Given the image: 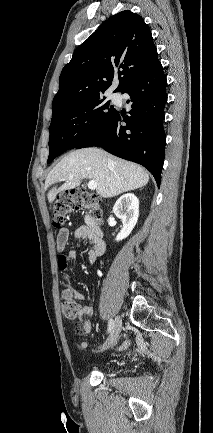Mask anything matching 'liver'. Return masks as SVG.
<instances>
[{
	"label": "liver",
	"instance_id": "liver-1",
	"mask_svg": "<svg viewBox=\"0 0 213 433\" xmlns=\"http://www.w3.org/2000/svg\"><path fill=\"white\" fill-rule=\"evenodd\" d=\"M82 179L95 181L97 193L101 197L110 198L145 186L149 181V174L140 165L95 147L75 150L65 156L48 174L45 189L54 183L65 182L59 188L49 190L48 201L52 203L61 191L78 187Z\"/></svg>",
	"mask_w": 213,
	"mask_h": 433
}]
</instances>
